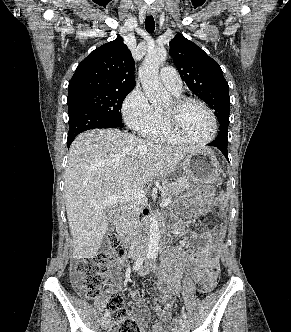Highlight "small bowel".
I'll return each instance as SVG.
<instances>
[{
  "label": "small bowel",
  "mask_w": 291,
  "mask_h": 332,
  "mask_svg": "<svg viewBox=\"0 0 291 332\" xmlns=\"http://www.w3.org/2000/svg\"><path fill=\"white\" fill-rule=\"evenodd\" d=\"M171 228L173 233L180 236L185 235L182 224L175 223ZM191 236L201 243L195 254L187 255L185 253L184 240H181L176 246L165 249L163 253L165 269L157 272L159 290L157 300L162 304V308L154 307L159 319L150 330L146 329L149 310L140 298L137 299L132 319L140 325L141 332H174L172 329V297L174 294L172 280L178 282L182 278L184 269L189 265L190 277L203 283L211 269L218 266V248L224 237V229H207L200 233H193ZM149 271V268H142L139 274L145 276ZM168 273L172 274V279Z\"/></svg>",
  "instance_id": "c3829d8e"
}]
</instances>
